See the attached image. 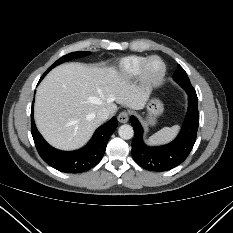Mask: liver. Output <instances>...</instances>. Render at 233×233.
<instances>
[{
	"instance_id": "6515ba94",
	"label": "liver",
	"mask_w": 233,
	"mask_h": 233,
	"mask_svg": "<svg viewBox=\"0 0 233 233\" xmlns=\"http://www.w3.org/2000/svg\"><path fill=\"white\" fill-rule=\"evenodd\" d=\"M147 93L130 84L113 67L66 63L51 70L38 86L34 118L48 143L61 150H75L91 138L101 124V108L110 115L117 104L143 109Z\"/></svg>"
}]
</instances>
